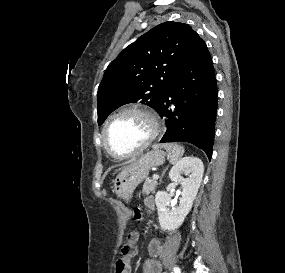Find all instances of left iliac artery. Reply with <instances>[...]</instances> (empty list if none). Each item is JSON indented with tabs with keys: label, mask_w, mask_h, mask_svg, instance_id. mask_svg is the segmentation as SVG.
<instances>
[{
	"label": "left iliac artery",
	"mask_w": 285,
	"mask_h": 273,
	"mask_svg": "<svg viewBox=\"0 0 285 273\" xmlns=\"http://www.w3.org/2000/svg\"><path fill=\"white\" fill-rule=\"evenodd\" d=\"M173 271H174V273H181V270L179 267H174Z\"/></svg>",
	"instance_id": "44dca946"
}]
</instances>
